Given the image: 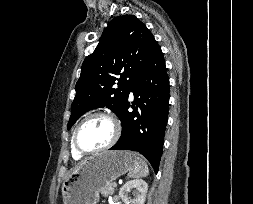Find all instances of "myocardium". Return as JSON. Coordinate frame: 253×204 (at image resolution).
I'll list each match as a JSON object with an SVG mask.
<instances>
[{"label":"myocardium","instance_id":"1","mask_svg":"<svg viewBox=\"0 0 253 204\" xmlns=\"http://www.w3.org/2000/svg\"><path fill=\"white\" fill-rule=\"evenodd\" d=\"M96 117H102V118L108 119L114 127V134H113V137L111 138V140L105 146L94 149V150L87 151V150L82 149L78 144V132L84 123H86L90 119H93ZM120 135H121L120 122L112 114L106 113V112H95V113H92V114H89L88 116H86L76 126V128L73 132V136H72V145H73L75 151L81 156L96 154V153H100V152H103V151H106V150L112 148L119 140Z\"/></svg>","mask_w":253,"mask_h":204}]
</instances>
